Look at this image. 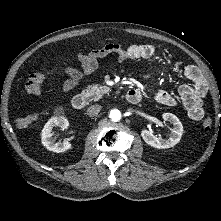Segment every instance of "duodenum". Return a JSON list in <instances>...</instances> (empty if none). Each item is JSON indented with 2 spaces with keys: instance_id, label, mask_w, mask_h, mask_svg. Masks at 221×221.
<instances>
[{
  "instance_id": "duodenum-1",
  "label": "duodenum",
  "mask_w": 221,
  "mask_h": 221,
  "mask_svg": "<svg viewBox=\"0 0 221 221\" xmlns=\"http://www.w3.org/2000/svg\"><path fill=\"white\" fill-rule=\"evenodd\" d=\"M125 99L128 103L136 104L140 101L141 97L135 90H129L125 96ZM72 106L76 110H82L87 105V99L83 95H75L72 98Z\"/></svg>"
}]
</instances>
